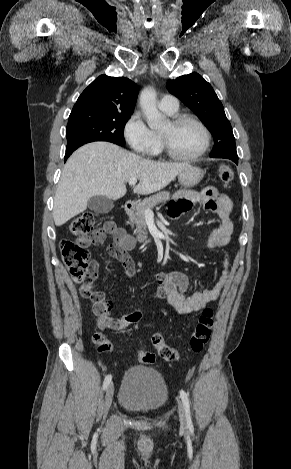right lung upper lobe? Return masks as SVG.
Segmentation results:
<instances>
[{
  "label": "right lung upper lobe",
  "mask_w": 291,
  "mask_h": 469,
  "mask_svg": "<svg viewBox=\"0 0 291 469\" xmlns=\"http://www.w3.org/2000/svg\"><path fill=\"white\" fill-rule=\"evenodd\" d=\"M138 87L125 77L99 76L79 96L71 113L101 112L131 115Z\"/></svg>",
  "instance_id": "obj_1"
}]
</instances>
